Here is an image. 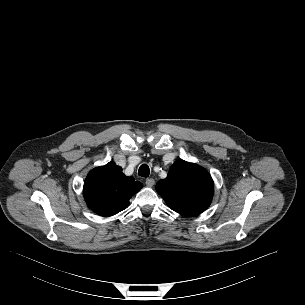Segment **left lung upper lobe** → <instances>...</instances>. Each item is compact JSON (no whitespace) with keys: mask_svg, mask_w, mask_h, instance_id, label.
<instances>
[{"mask_svg":"<svg viewBox=\"0 0 305 305\" xmlns=\"http://www.w3.org/2000/svg\"><path fill=\"white\" fill-rule=\"evenodd\" d=\"M214 184L210 174L194 163L175 162L167 178L156 184L157 192L177 213L195 216L209 207Z\"/></svg>","mask_w":305,"mask_h":305,"instance_id":"5c2ea615","label":"left lung upper lobe"}]
</instances>
